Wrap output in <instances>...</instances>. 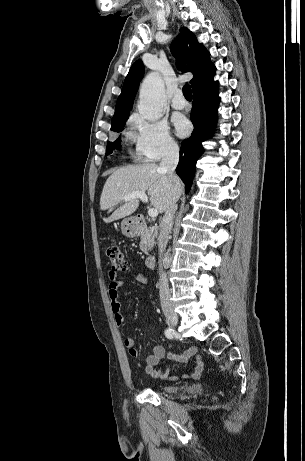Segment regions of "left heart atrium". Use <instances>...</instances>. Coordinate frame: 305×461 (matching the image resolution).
I'll return each mask as SVG.
<instances>
[{
	"instance_id": "1",
	"label": "left heart atrium",
	"mask_w": 305,
	"mask_h": 461,
	"mask_svg": "<svg viewBox=\"0 0 305 461\" xmlns=\"http://www.w3.org/2000/svg\"><path fill=\"white\" fill-rule=\"evenodd\" d=\"M173 121L176 132L179 136L183 137L188 134L190 130V124L186 118L183 116H176L174 117Z\"/></svg>"
}]
</instances>
